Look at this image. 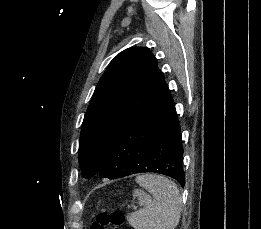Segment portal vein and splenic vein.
<instances>
[{
  "label": "portal vein and splenic vein",
  "instance_id": "obj_1",
  "mask_svg": "<svg viewBox=\"0 0 261 229\" xmlns=\"http://www.w3.org/2000/svg\"><path fill=\"white\" fill-rule=\"evenodd\" d=\"M131 207H132V208H135V207H136V204H135V203H132V204H131Z\"/></svg>",
  "mask_w": 261,
  "mask_h": 229
}]
</instances>
